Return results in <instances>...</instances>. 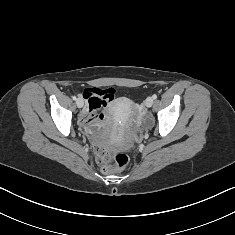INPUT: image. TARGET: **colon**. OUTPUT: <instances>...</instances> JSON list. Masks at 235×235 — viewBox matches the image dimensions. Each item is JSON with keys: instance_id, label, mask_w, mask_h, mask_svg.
<instances>
[{"instance_id": "colon-1", "label": "colon", "mask_w": 235, "mask_h": 235, "mask_svg": "<svg viewBox=\"0 0 235 235\" xmlns=\"http://www.w3.org/2000/svg\"><path fill=\"white\" fill-rule=\"evenodd\" d=\"M104 91L105 93L102 94L104 100L114 96L113 89H106ZM95 155L97 162L101 165V170L107 174L124 169L129 164V157L123 153L116 154L113 157L114 164L110 163L111 154L103 148H97L95 150Z\"/></svg>"}]
</instances>
